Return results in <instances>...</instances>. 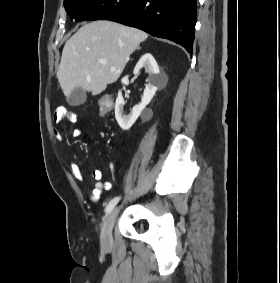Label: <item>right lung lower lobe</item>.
<instances>
[{
    "label": "right lung lower lobe",
    "instance_id": "right-lung-lower-lobe-1",
    "mask_svg": "<svg viewBox=\"0 0 280 283\" xmlns=\"http://www.w3.org/2000/svg\"><path fill=\"white\" fill-rule=\"evenodd\" d=\"M197 0H132L106 18L183 46L191 55Z\"/></svg>",
    "mask_w": 280,
    "mask_h": 283
}]
</instances>
